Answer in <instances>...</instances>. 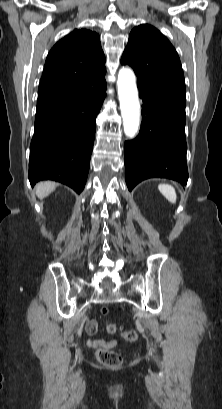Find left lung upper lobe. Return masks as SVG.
Segmentation results:
<instances>
[{
    "mask_svg": "<svg viewBox=\"0 0 222 409\" xmlns=\"http://www.w3.org/2000/svg\"><path fill=\"white\" fill-rule=\"evenodd\" d=\"M121 63L133 68L139 90L185 102V81L179 56L169 40L153 26L141 24L131 31Z\"/></svg>",
    "mask_w": 222,
    "mask_h": 409,
    "instance_id": "1",
    "label": "left lung upper lobe"
}]
</instances>
